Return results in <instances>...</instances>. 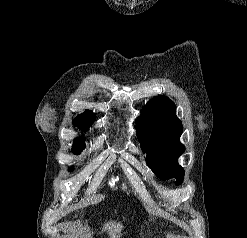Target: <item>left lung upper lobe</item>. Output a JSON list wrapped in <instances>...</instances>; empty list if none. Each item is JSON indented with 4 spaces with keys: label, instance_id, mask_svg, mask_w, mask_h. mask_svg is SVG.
Segmentation results:
<instances>
[{
    "label": "left lung upper lobe",
    "instance_id": "5c2ea615",
    "mask_svg": "<svg viewBox=\"0 0 247 238\" xmlns=\"http://www.w3.org/2000/svg\"><path fill=\"white\" fill-rule=\"evenodd\" d=\"M136 127L148 166L161 179L176 178V183L181 184L184 170L178 158L185 147L179 141L183 126L174 102L166 96L154 97L143 107Z\"/></svg>",
    "mask_w": 247,
    "mask_h": 238
}]
</instances>
